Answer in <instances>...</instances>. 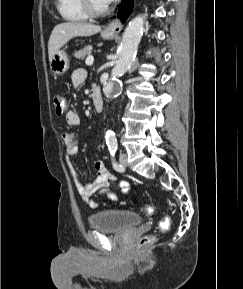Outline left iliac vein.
I'll list each match as a JSON object with an SVG mask.
<instances>
[{
  "instance_id": "1",
  "label": "left iliac vein",
  "mask_w": 243,
  "mask_h": 289,
  "mask_svg": "<svg viewBox=\"0 0 243 289\" xmlns=\"http://www.w3.org/2000/svg\"><path fill=\"white\" fill-rule=\"evenodd\" d=\"M119 160H120V164L122 165V167H126L128 165L126 154L124 153L121 154Z\"/></svg>"
}]
</instances>
